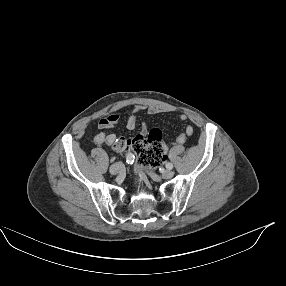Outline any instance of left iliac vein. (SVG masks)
Segmentation results:
<instances>
[{
    "instance_id": "obj_1",
    "label": "left iliac vein",
    "mask_w": 286,
    "mask_h": 286,
    "mask_svg": "<svg viewBox=\"0 0 286 286\" xmlns=\"http://www.w3.org/2000/svg\"><path fill=\"white\" fill-rule=\"evenodd\" d=\"M162 176L165 179H170V178L173 177V172L170 171V170H165V171L162 172Z\"/></svg>"
}]
</instances>
